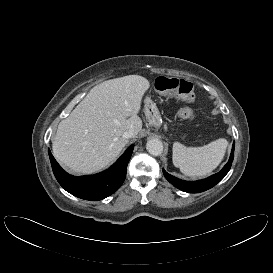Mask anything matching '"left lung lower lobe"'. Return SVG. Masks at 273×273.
<instances>
[{
	"instance_id": "left-lung-lower-lobe-1",
	"label": "left lung lower lobe",
	"mask_w": 273,
	"mask_h": 273,
	"mask_svg": "<svg viewBox=\"0 0 273 273\" xmlns=\"http://www.w3.org/2000/svg\"><path fill=\"white\" fill-rule=\"evenodd\" d=\"M234 147H235V144H233L229 161L223 167V169L217 174H214L206 179L193 181V182L183 181L168 174L164 169H163V174L171 184H173L175 187H177L178 189L182 191H185L188 193H199V192L206 191L212 188L213 186H215L219 181H221L230 170L231 164L234 158Z\"/></svg>"
}]
</instances>
